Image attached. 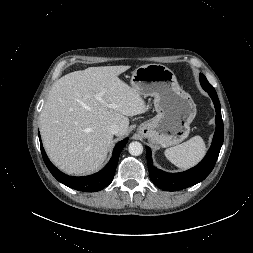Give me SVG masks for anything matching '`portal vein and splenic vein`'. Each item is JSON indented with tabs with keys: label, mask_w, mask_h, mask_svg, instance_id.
Returning a JSON list of instances; mask_svg holds the SVG:
<instances>
[{
	"label": "portal vein and splenic vein",
	"mask_w": 253,
	"mask_h": 253,
	"mask_svg": "<svg viewBox=\"0 0 253 253\" xmlns=\"http://www.w3.org/2000/svg\"><path fill=\"white\" fill-rule=\"evenodd\" d=\"M96 98L99 100V101H102V98H101V95L98 94L96 95ZM109 108H116L117 106L115 104H109L108 105Z\"/></svg>",
	"instance_id": "obj_1"
}]
</instances>
